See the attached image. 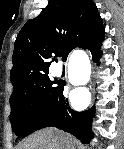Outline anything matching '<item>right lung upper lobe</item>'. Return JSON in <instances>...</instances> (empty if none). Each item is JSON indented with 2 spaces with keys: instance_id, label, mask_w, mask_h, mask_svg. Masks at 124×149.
Instances as JSON below:
<instances>
[{
  "instance_id": "cb5924a9",
  "label": "right lung upper lobe",
  "mask_w": 124,
  "mask_h": 149,
  "mask_svg": "<svg viewBox=\"0 0 124 149\" xmlns=\"http://www.w3.org/2000/svg\"><path fill=\"white\" fill-rule=\"evenodd\" d=\"M104 34L92 0H49L48 6L28 20L16 38L10 71L13 88L48 73L54 57L66 58L76 47L93 48Z\"/></svg>"
}]
</instances>
